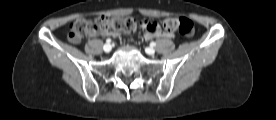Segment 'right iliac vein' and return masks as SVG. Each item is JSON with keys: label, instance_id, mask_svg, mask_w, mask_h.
<instances>
[{"label": "right iliac vein", "instance_id": "1", "mask_svg": "<svg viewBox=\"0 0 276 120\" xmlns=\"http://www.w3.org/2000/svg\"><path fill=\"white\" fill-rule=\"evenodd\" d=\"M103 49H104V51H105L106 53H108V52L111 51L112 47H111L110 44H105V45L103 46Z\"/></svg>", "mask_w": 276, "mask_h": 120}]
</instances>
